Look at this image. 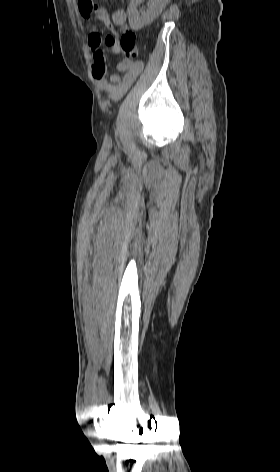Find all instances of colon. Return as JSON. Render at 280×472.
Returning <instances> with one entry per match:
<instances>
[{
	"label": "colon",
	"mask_w": 280,
	"mask_h": 472,
	"mask_svg": "<svg viewBox=\"0 0 280 472\" xmlns=\"http://www.w3.org/2000/svg\"><path fill=\"white\" fill-rule=\"evenodd\" d=\"M88 8H92V1H88L87 4ZM120 49L125 57L127 58H135L138 54L137 44H136V36L133 31L125 30L122 34L120 40Z\"/></svg>",
	"instance_id": "colon-1"
}]
</instances>
